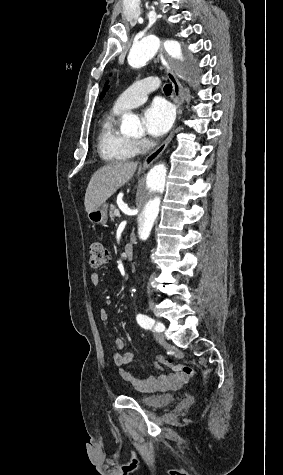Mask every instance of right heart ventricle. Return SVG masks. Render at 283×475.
Here are the masks:
<instances>
[{
  "label": "right heart ventricle",
  "mask_w": 283,
  "mask_h": 475,
  "mask_svg": "<svg viewBox=\"0 0 283 475\" xmlns=\"http://www.w3.org/2000/svg\"><path fill=\"white\" fill-rule=\"evenodd\" d=\"M122 112L123 110L113 106L99 122L98 149L108 162L128 160L136 152L132 146V140L119 129L118 118Z\"/></svg>",
  "instance_id": "obj_1"
}]
</instances>
